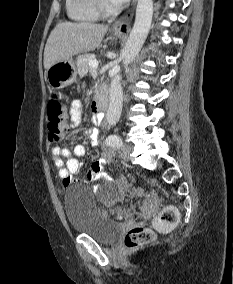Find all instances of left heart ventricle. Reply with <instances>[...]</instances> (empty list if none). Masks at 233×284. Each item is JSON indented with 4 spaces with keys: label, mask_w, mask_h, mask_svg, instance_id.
<instances>
[{
    "label": "left heart ventricle",
    "mask_w": 233,
    "mask_h": 284,
    "mask_svg": "<svg viewBox=\"0 0 233 284\" xmlns=\"http://www.w3.org/2000/svg\"><path fill=\"white\" fill-rule=\"evenodd\" d=\"M109 1V3H111V4H113L112 2H111V0H108ZM114 5V4H113Z\"/></svg>",
    "instance_id": "obj_1"
}]
</instances>
